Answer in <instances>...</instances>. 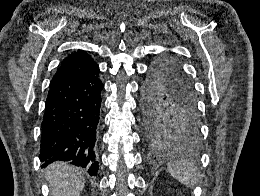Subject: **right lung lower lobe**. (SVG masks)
<instances>
[{
	"label": "right lung lower lobe",
	"instance_id": "obj_1",
	"mask_svg": "<svg viewBox=\"0 0 260 196\" xmlns=\"http://www.w3.org/2000/svg\"><path fill=\"white\" fill-rule=\"evenodd\" d=\"M99 69L91 74L50 85L42 121L40 161H69L97 175V127L101 90Z\"/></svg>",
	"mask_w": 260,
	"mask_h": 196
}]
</instances>
